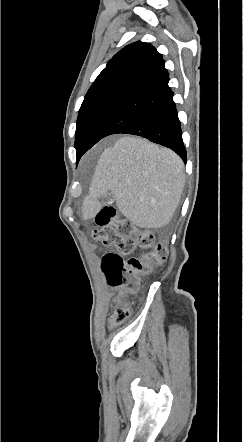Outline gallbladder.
<instances>
[{"label":"gallbladder","instance_id":"bac80fb5","mask_svg":"<svg viewBox=\"0 0 243 442\" xmlns=\"http://www.w3.org/2000/svg\"><path fill=\"white\" fill-rule=\"evenodd\" d=\"M113 201H114V196L111 192H107L102 197V203L106 206L109 204L113 206V204H114Z\"/></svg>","mask_w":243,"mask_h":442}]
</instances>
